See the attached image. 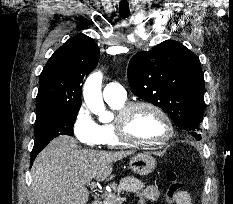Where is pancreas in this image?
<instances>
[{
  "label": "pancreas",
  "mask_w": 233,
  "mask_h": 204,
  "mask_svg": "<svg viewBox=\"0 0 233 204\" xmlns=\"http://www.w3.org/2000/svg\"><path fill=\"white\" fill-rule=\"evenodd\" d=\"M144 187V183H142L139 179L131 176L121 179L118 186H116V184L112 185V189L118 194L122 191L137 193ZM118 194L113 193L110 196L106 195L101 204H121V202L118 200Z\"/></svg>",
  "instance_id": "pancreas-1"
}]
</instances>
